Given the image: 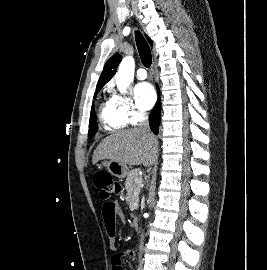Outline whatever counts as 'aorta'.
<instances>
[{
    "mask_svg": "<svg viewBox=\"0 0 267 270\" xmlns=\"http://www.w3.org/2000/svg\"><path fill=\"white\" fill-rule=\"evenodd\" d=\"M134 69L135 61L133 57L127 56L121 61L115 78L117 88L121 93H125L130 83L133 81Z\"/></svg>",
    "mask_w": 267,
    "mask_h": 270,
    "instance_id": "aorta-1",
    "label": "aorta"
}]
</instances>
